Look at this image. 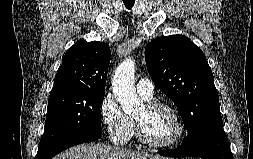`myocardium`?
<instances>
[{
  "label": "myocardium",
  "mask_w": 253,
  "mask_h": 159,
  "mask_svg": "<svg viewBox=\"0 0 253 159\" xmlns=\"http://www.w3.org/2000/svg\"><path fill=\"white\" fill-rule=\"evenodd\" d=\"M146 106L149 109H165L168 112H170L176 120L177 133H176L175 137L168 142H154V141H151L146 136L139 121L137 119H134L135 129H136V134H137L138 140L143 145L148 146V147H152V148H156V149H168V148H172V147L176 146L177 144H179L185 135V124H184V121H183L182 117L180 116L179 112L177 111V109L175 107H173L172 105L165 103V102H161V101H152V102L147 103Z\"/></svg>",
  "instance_id": "1"
}]
</instances>
